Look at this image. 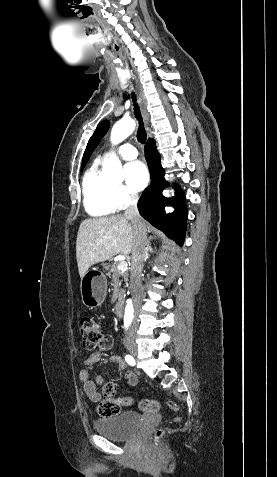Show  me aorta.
<instances>
[{"instance_id": "1", "label": "aorta", "mask_w": 277, "mask_h": 477, "mask_svg": "<svg viewBox=\"0 0 277 477\" xmlns=\"http://www.w3.org/2000/svg\"><path fill=\"white\" fill-rule=\"evenodd\" d=\"M135 121L132 119H121L116 122L111 131V142L113 145L125 140L135 129ZM103 173L109 180L121 182L123 180L122 165L119 158L112 154L109 160L103 164ZM134 317V306L131 299L127 300L124 314V324L131 323Z\"/></svg>"}]
</instances>
